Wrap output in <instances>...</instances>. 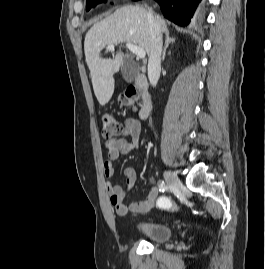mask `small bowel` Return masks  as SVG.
<instances>
[{"label": "small bowel", "mask_w": 265, "mask_h": 269, "mask_svg": "<svg viewBox=\"0 0 265 269\" xmlns=\"http://www.w3.org/2000/svg\"><path fill=\"white\" fill-rule=\"evenodd\" d=\"M141 123L134 118H126L121 136H118L106 143V151L108 159L103 163V171L108 178L106 181V190L109 196V201L114 207L116 213L120 216H125L129 212L146 214L154 206L159 195L157 187H152L148 194L138 202L125 203L127 192L130 191L137 180V173L133 167H125L123 176L126 181V188L114 184L110 178L114 174L113 162L121 156L129 154L131 151L138 148L141 137Z\"/></svg>", "instance_id": "obj_1"}]
</instances>
